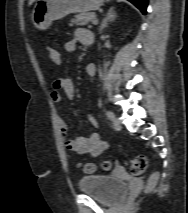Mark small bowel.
<instances>
[{
  "instance_id": "1",
  "label": "small bowel",
  "mask_w": 188,
  "mask_h": 213,
  "mask_svg": "<svg viewBox=\"0 0 188 213\" xmlns=\"http://www.w3.org/2000/svg\"><path fill=\"white\" fill-rule=\"evenodd\" d=\"M95 41V36L93 32L86 28H78L75 31L74 38L67 41L65 44V50L69 53L74 52L79 44L91 45ZM55 63H60L59 58L53 60ZM86 71L89 76H94L96 74V66L94 64H89L86 67ZM61 92L65 94L68 99H73L75 96V88L73 82L68 78H60L53 82L52 91L50 93V99L53 103L58 104L62 100ZM88 123L92 127H97V120L92 117H87ZM58 126L63 138L64 146L68 151L74 152L77 155L84 156L89 155L91 157H97L104 153L108 144L97 132H92L89 135H81L75 138H70L68 135V127L65 121L58 117Z\"/></svg>"
}]
</instances>
